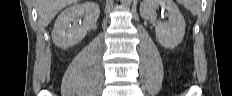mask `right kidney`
<instances>
[{
    "label": "right kidney",
    "mask_w": 232,
    "mask_h": 96,
    "mask_svg": "<svg viewBox=\"0 0 232 96\" xmlns=\"http://www.w3.org/2000/svg\"><path fill=\"white\" fill-rule=\"evenodd\" d=\"M99 14V6L93 2L74 4L66 8L55 21L52 31L53 42L63 49L79 43L86 36L87 31L94 27ZM83 15L85 16L83 24L78 27L76 19Z\"/></svg>",
    "instance_id": "ca27d5eb"
}]
</instances>
